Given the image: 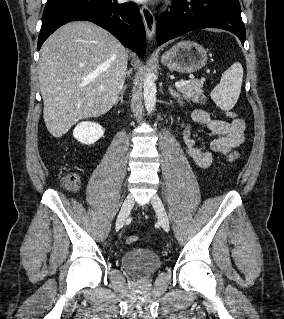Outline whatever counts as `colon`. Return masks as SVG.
<instances>
[{"label":"colon","mask_w":284,"mask_h":319,"mask_svg":"<svg viewBox=\"0 0 284 319\" xmlns=\"http://www.w3.org/2000/svg\"><path fill=\"white\" fill-rule=\"evenodd\" d=\"M227 116L232 120L237 118V114L233 111H229ZM239 154L237 152H232L227 156V161L233 163L237 161ZM63 183L65 187L70 191H76L80 185V178L77 174H68L64 179ZM139 237L136 235L129 236L126 239V244L132 245L138 241Z\"/></svg>","instance_id":"5ec220e1"}]
</instances>
